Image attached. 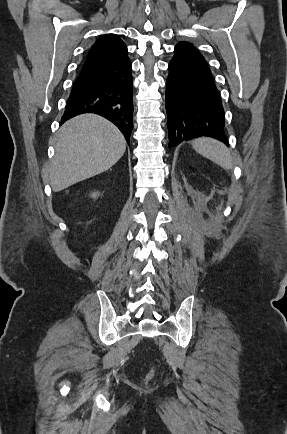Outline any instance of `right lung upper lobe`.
Segmentation results:
<instances>
[{"instance_id":"obj_1","label":"right lung upper lobe","mask_w":287,"mask_h":434,"mask_svg":"<svg viewBox=\"0 0 287 434\" xmlns=\"http://www.w3.org/2000/svg\"><path fill=\"white\" fill-rule=\"evenodd\" d=\"M124 52H127V47L119 37L104 35L91 47L85 64L104 61Z\"/></svg>"}]
</instances>
